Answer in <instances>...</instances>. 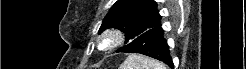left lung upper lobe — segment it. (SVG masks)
Segmentation results:
<instances>
[{"mask_svg":"<svg viewBox=\"0 0 246 69\" xmlns=\"http://www.w3.org/2000/svg\"><path fill=\"white\" fill-rule=\"evenodd\" d=\"M161 25L154 0H118L104 18L99 33L117 28L125 33V44Z\"/></svg>","mask_w":246,"mask_h":69,"instance_id":"5c2ea615","label":"left lung upper lobe"}]
</instances>
